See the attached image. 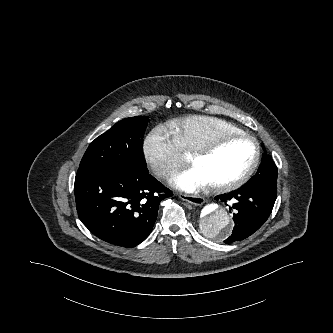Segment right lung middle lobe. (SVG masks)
<instances>
[{
	"instance_id": "obj_1",
	"label": "right lung middle lobe",
	"mask_w": 333,
	"mask_h": 333,
	"mask_svg": "<svg viewBox=\"0 0 333 333\" xmlns=\"http://www.w3.org/2000/svg\"><path fill=\"white\" fill-rule=\"evenodd\" d=\"M148 122L146 116L117 122L91 142L79 169L105 166L126 171H147L143 156V136Z\"/></svg>"
}]
</instances>
